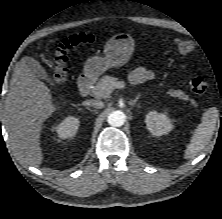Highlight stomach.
Wrapping results in <instances>:
<instances>
[{
    "label": "stomach",
    "mask_w": 222,
    "mask_h": 219,
    "mask_svg": "<svg viewBox=\"0 0 222 219\" xmlns=\"http://www.w3.org/2000/svg\"><path fill=\"white\" fill-rule=\"evenodd\" d=\"M135 49V42L129 33H118L112 36L104 47L105 57L94 56L84 65V73L89 78L98 77L112 67L126 64Z\"/></svg>",
    "instance_id": "0dacf381"
}]
</instances>
